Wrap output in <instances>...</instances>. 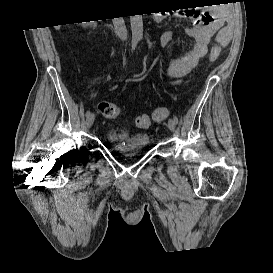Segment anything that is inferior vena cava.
<instances>
[{
    "mask_svg": "<svg viewBox=\"0 0 273 273\" xmlns=\"http://www.w3.org/2000/svg\"><path fill=\"white\" fill-rule=\"evenodd\" d=\"M114 30L121 40L127 39V29L123 17L113 18Z\"/></svg>",
    "mask_w": 273,
    "mask_h": 273,
    "instance_id": "602c4592",
    "label": "inferior vena cava"
}]
</instances>
